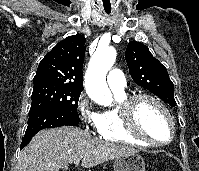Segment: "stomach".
I'll return each mask as SVG.
<instances>
[{
  "instance_id": "obj_1",
  "label": "stomach",
  "mask_w": 199,
  "mask_h": 171,
  "mask_svg": "<svg viewBox=\"0 0 199 171\" xmlns=\"http://www.w3.org/2000/svg\"><path fill=\"white\" fill-rule=\"evenodd\" d=\"M114 171H145L144 159L138 154L117 157L114 162Z\"/></svg>"
}]
</instances>
